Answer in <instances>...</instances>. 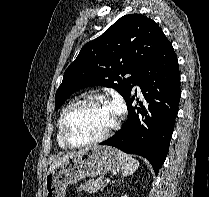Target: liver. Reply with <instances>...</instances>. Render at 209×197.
I'll list each match as a JSON object with an SVG mask.
<instances>
[{
    "instance_id": "obj_1",
    "label": "liver",
    "mask_w": 209,
    "mask_h": 197,
    "mask_svg": "<svg viewBox=\"0 0 209 197\" xmlns=\"http://www.w3.org/2000/svg\"><path fill=\"white\" fill-rule=\"evenodd\" d=\"M88 150V148L84 149V150H80L78 152H71V153H68L60 158H58L57 160H55L51 165H50V168L48 169V173L47 174H50L55 168H57L58 166L66 163L69 159L77 156V155H80V154H83L84 152H86Z\"/></svg>"
}]
</instances>
